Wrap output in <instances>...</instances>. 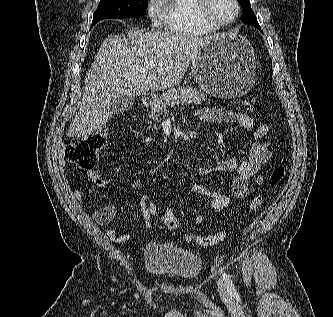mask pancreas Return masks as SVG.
I'll return each mask as SVG.
<instances>
[{"label": "pancreas", "mask_w": 333, "mask_h": 317, "mask_svg": "<svg viewBox=\"0 0 333 317\" xmlns=\"http://www.w3.org/2000/svg\"><path fill=\"white\" fill-rule=\"evenodd\" d=\"M205 100L206 97L204 93L193 87L180 86L178 88H172L157 99V102L151 108V114L149 117L152 118L153 121L158 122V120L161 119L165 113L169 112L171 107H174L179 103L199 105Z\"/></svg>", "instance_id": "1"}]
</instances>
